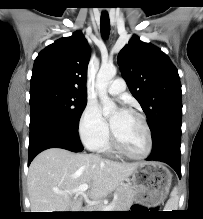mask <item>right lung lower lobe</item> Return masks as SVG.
Listing matches in <instances>:
<instances>
[{
  "label": "right lung lower lobe",
  "instance_id": "1",
  "mask_svg": "<svg viewBox=\"0 0 203 219\" xmlns=\"http://www.w3.org/2000/svg\"><path fill=\"white\" fill-rule=\"evenodd\" d=\"M48 148H63L73 152L83 150L78 132L63 130L40 119L30 120L28 165L37 154Z\"/></svg>",
  "mask_w": 203,
  "mask_h": 219
}]
</instances>
